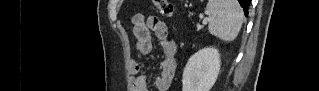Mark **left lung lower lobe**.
<instances>
[{
  "mask_svg": "<svg viewBox=\"0 0 319 91\" xmlns=\"http://www.w3.org/2000/svg\"><path fill=\"white\" fill-rule=\"evenodd\" d=\"M238 1L242 6L245 15L247 16L248 15V6H249L251 0H238Z\"/></svg>",
  "mask_w": 319,
  "mask_h": 91,
  "instance_id": "0a47b994",
  "label": "left lung lower lobe"
}]
</instances>
